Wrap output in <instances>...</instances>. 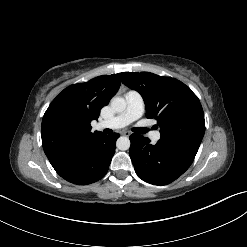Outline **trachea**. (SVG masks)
Segmentation results:
<instances>
[{"instance_id":"trachea-1","label":"trachea","mask_w":247,"mask_h":247,"mask_svg":"<svg viewBox=\"0 0 247 247\" xmlns=\"http://www.w3.org/2000/svg\"><path fill=\"white\" fill-rule=\"evenodd\" d=\"M147 131H148L147 128H138V129L136 130L137 133H141V134H143V133H145V132H147Z\"/></svg>"}]
</instances>
